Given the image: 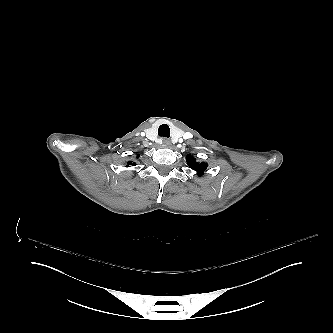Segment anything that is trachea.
<instances>
[{
	"mask_svg": "<svg viewBox=\"0 0 333 333\" xmlns=\"http://www.w3.org/2000/svg\"><path fill=\"white\" fill-rule=\"evenodd\" d=\"M159 137L169 138L170 136V128L166 124H162L158 129Z\"/></svg>",
	"mask_w": 333,
	"mask_h": 333,
	"instance_id": "3493384b",
	"label": "trachea"
}]
</instances>
